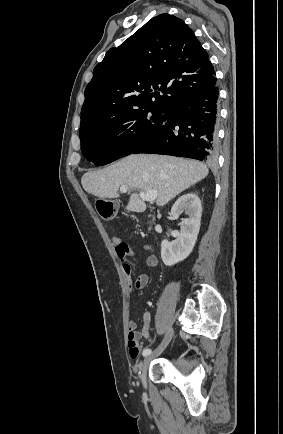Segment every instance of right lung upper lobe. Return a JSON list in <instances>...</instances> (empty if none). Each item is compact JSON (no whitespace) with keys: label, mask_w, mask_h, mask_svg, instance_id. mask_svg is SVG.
<instances>
[{"label":"right lung upper lobe","mask_w":283,"mask_h":434,"mask_svg":"<svg viewBox=\"0 0 283 434\" xmlns=\"http://www.w3.org/2000/svg\"><path fill=\"white\" fill-rule=\"evenodd\" d=\"M215 84L209 55L193 31L173 15H158L95 66L80 130L135 109L166 111Z\"/></svg>","instance_id":"1"}]
</instances>
